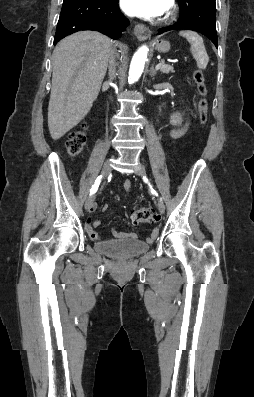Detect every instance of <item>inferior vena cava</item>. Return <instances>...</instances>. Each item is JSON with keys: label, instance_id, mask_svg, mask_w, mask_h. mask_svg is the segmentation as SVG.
<instances>
[{"label": "inferior vena cava", "instance_id": "obj_1", "mask_svg": "<svg viewBox=\"0 0 254 397\" xmlns=\"http://www.w3.org/2000/svg\"><path fill=\"white\" fill-rule=\"evenodd\" d=\"M118 56L116 52H111L110 54V63H109V78L110 80H114L116 77V63L115 59Z\"/></svg>", "mask_w": 254, "mask_h": 397}]
</instances>
